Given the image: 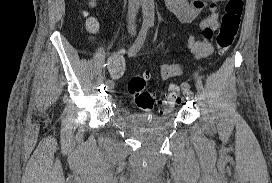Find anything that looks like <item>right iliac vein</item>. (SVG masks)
<instances>
[{
	"mask_svg": "<svg viewBox=\"0 0 272 183\" xmlns=\"http://www.w3.org/2000/svg\"><path fill=\"white\" fill-rule=\"evenodd\" d=\"M105 85H106V90L109 91V92H112L113 89H114V83L112 81L110 82H105Z\"/></svg>",
	"mask_w": 272,
	"mask_h": 183,
	"instance_id": "63e3f726",
	"label": "right iliac vein"
}]
</instances>
